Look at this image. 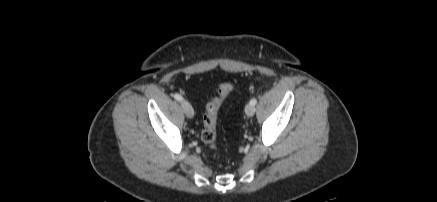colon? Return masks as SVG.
Returning <instances> with one entry per match:
<instances>
[{"label":"colon","instance_id":"5ec220e1","mask_svg":"<svg viewBox=\"0 0 437 202\" xmlns=\"http://www.w3.org/2000/svg\"><path fill=\"white\" fill-rule=\"evenodd\" d=\"M233 83H222L218 89V94L207 105L203 116V131L201 134L202 141L210 150H215L217 147V116L218 111L224 100L233 90Z\"/></svg>","mask_w":437,"mask_h":202}]
</instances>
